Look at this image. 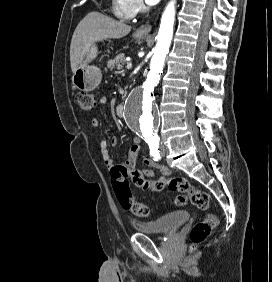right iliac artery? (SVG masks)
<instances>
[{
  "instance_id": "right-iliac-artery-1",
  "label": "right iliac artery",
  "mask_w": 272,
  "mask_h": 282,
  "mask_svg": "<svg viewBox=\"0 0 272 282\" xmlns=\"http://www.w3.org/2000/svg\"><path fill=\"white\" fill-rule=\"evenodd\" d=\"M150 154L154 157V159L157 161L160 159V153H159V142L158 141H149L148 142Z\"/></svg>"
}]
</instances>
